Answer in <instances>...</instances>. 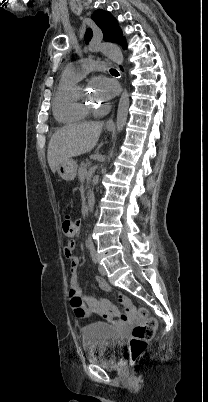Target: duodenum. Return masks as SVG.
Masks as SVG:
<instances>
[{
    "mask_svg": "<svg viewBox=\"0 0 208 402\" xmlns=\"http://www.w3.org/2000/svg\"><path fill=\"white\" fill-rule=\"evenodd\" d=\"M94 203H95L94 196H93L92 194H90V195L88 196V198H87V207H88L89 209L93 208Z\"/></svg>",
    "mask_w": 208,
    "mask_h": 402,
    "instance_id": "1",
    "label": "duodenum"
}]
</instances>
